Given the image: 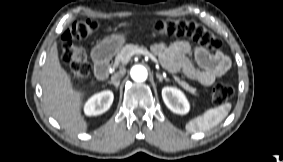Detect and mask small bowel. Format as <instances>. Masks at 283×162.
<instances>
[{
  "label": "small bowel",
  "instance_id": "obj_1",
  "mask_svg": "<svg viewBox=\"0 0 283 162\" xmlns=\"http://www.w3.org/2000/svg\"><path fill=\"white\" fill-rule=\"evenodd\" d=\"M162 65L171 72L182 71L196 83L209 86L227 73L231 61L222 52L210 53L200 45L192 46L187 41H176L166 46L162 42L152 45Z\"/></svg>",
  "mask_w": 283,
  "mask_h": 162
}]
</instances>
